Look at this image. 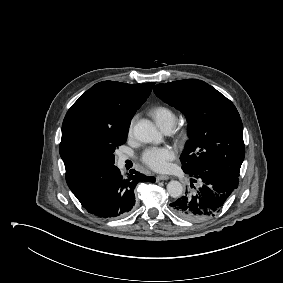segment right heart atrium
<instances>
[{"mask_svg":"<svg viewBox=\"0 0 283 283\" xmlns=\"http://www.w3.org/2000/svg\"><path fill=\"white\" fill-rule=\"evenodd\" d=\"M132 128H133V122H131V124L129 125V128H128V135L129 136L132 134Z\"/></svg>","mask_w":283,"mask_h":283,"instance_id":"1","label":"right heart atrium"}]
</instances>
